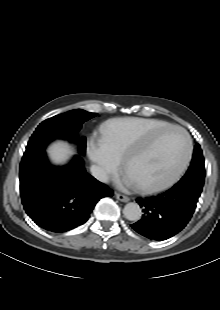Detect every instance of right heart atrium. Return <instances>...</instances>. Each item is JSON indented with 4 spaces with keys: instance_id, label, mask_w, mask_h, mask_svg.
<instances>
[{
    "instance_id": "right-heart-atrium-1",
    "label": "right heart atrium",
    "mask_w": 220,
    "mask_h": 310,
    "mask_svg": "<svg viewBox=\"0 0 220 310\" xmlns=\"http://www.w3.org/2000/svg\"><path fill=\"white\" fill-rule=\"evenodd\" d=\"M93 157L108 173H115L117 165L114 158L104 149L96 148L93 150Z\"/></svg>"
}]
</instances>
